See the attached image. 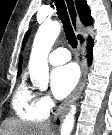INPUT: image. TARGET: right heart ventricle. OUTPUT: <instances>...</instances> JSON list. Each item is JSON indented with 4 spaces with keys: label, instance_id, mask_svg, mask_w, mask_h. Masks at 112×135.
I'll return each instance as SVG.
<instances>
[{
    "label": "right heart ventricle",
    "instance_id": "right-heart-ventricle-1",
    "mask_svg": "<svg viewBox=\"0 0 112 135\" xmlns=\"http://www.w3.org/2000/svg\"><path fill=\"white\" fill-rule=\"evenodd\" d=\"M12 106L16 115L28 122H40L48 116V111L40 104L38 94L25 82L17 87Z\"/></svg>",
    "mask_w": 112,
    "mask_h": 135
}]
</instances>
